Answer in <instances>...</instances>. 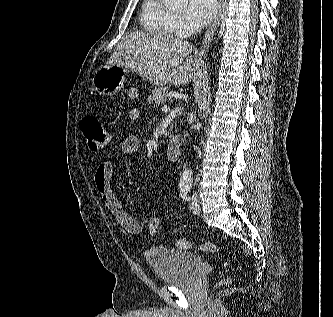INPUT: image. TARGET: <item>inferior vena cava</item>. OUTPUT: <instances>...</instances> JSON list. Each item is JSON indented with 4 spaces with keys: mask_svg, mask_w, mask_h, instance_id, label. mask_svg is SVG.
Returning <instances> with one entry per match:
<instances>
[{
    "mask_svg": "<svg viewBox=\"0 0 333 317\" xmlns=\"http://www.w3.org/2000/svg\"><path fill=\"white\" fill-rule=\"evenodd\" d=\"M199 31H200V29L197 27V28H196V32H199Z\"/></svg>",
    "mask_w": 333,
    "mask_h": 317,
    "instance_id": "602c4592",
    "label": "inferior vena cava"
}]
</instances>
